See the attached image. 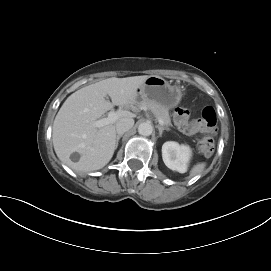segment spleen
<instances>
[{
    "label": "spleen",
    "mask_w": 271,
    "mask_h": 271,
    "mask_svg": "<svg viewBox=\"0 0 271 271\" xmlns=\"http://www.w3.org/2000/svg\"><path fill=\"white\" fill-rule=\"evenodd\" d=\"M205 167H206L205 163L196 164L190 171V177L201 174L204 171Z\"/></svg>",
    "instance_id": "spleen-1"
}]
</instances>
